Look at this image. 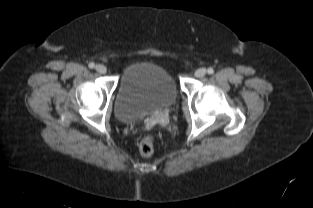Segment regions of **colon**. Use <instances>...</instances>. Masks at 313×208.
<instances>
[{
  "instance_id": "colon-1",
  "label": "colon",
  "mask_w": 313,
  "mask_h": 208,
  "mask_svg": "<svg viewBox=\"0 0 313 208\" xmlns=\"http://www.w3.org/2000/svg\"><path fill=\"white\" fill-rule=\"evenodd\" d=\"M139 152L144 157H149L154 152V138L151 135L144 137L139 144Z\"/></svg>"
}]
</instances>
